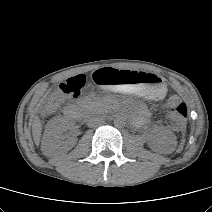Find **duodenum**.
<instances>
[{"instance_id": "obj_1", "label": "duodenum", "mask_w": 212, "mask_h": 212, "mask_svg": "<svg viewBox=\"0 0 212 212\" xmlns=\"http://www.w3.org/2000/svg\"><path fill=\"white\" fill-rule=\"evenodd\" d=\"M65 114L72 119H77L78 118V112L75 108L69 107L66 109ZM144 120V117L142 115L138 116L136 118L137 122H142Z\"/></svg>"}]
</instances>
